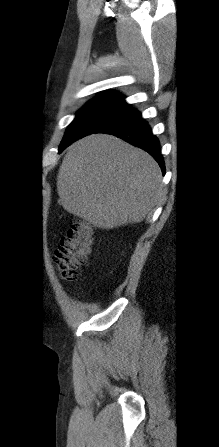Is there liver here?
Wrapping results in <instances>:
<instances>
[{
  "instance_id": "obj_1",
  "label": "liver",
  "mask_w": 219,
  "mask_h": 447,
  "mask_svg": "<svg viewBox=\"0 0 219 447\" xmlns=\"http://www.w3.org/2000/svg\"><path fill=\"white\" fill-rule=\"evenodd\" d=\"M58 203L101 229L138 223L160 202L162 174L145 151L110 135L72 144L57 177Z\"/></svg>"
}]
</instances>
